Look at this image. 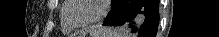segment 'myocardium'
Here are the masks:
<instances>
[{
    "label": "myocardium",
    "mask_w": 219,
    "mask_h": 37,
    "mask_svg": "<svg viewBox=\"0 0 219 37\" xmlns=\"http://www.w3.org/2000/svg\"><path fill=\"white\" fill-rule=\"evenodd\" d=\"M66 3H67V8L63 11L62 16H63V19L67 22V24L73 28H87V27H90L98 23L99 21L103 19L108 9V0H100L99 1L100 9H99L98 14L94 18L86 22H83V23H76V22L69 20L67 16L69 10L74 6V0L73 1L67 0Z\"/></svg>",
    "instance_id": "f54148a6"
}]
</instances>
